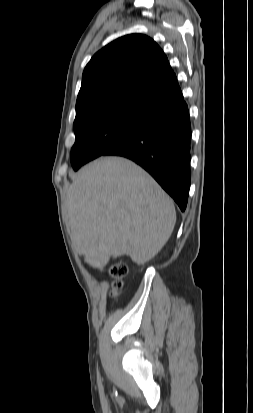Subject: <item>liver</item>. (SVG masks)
Returning <instances> with one entry per match:
<instances>
[{
  "mask_svg": "<svg viewBox=\"0 0 253 413\" xmlns=\"http://www.w3.org/2000/svg\"><path fill=\"white\" fill-rule=\"evenodd\" d=\"M66 207L74 249L93 268L122 255L145 264L166 244L176 222L170 197L122 157L100 158L80 170Z\"/></svg>",
  "mask_w": 253,
  "mask_h": 413,
  "instance_id": "6515ba94",
  "label": "liver"
}]
</instances>
